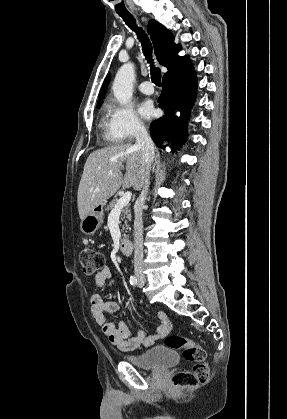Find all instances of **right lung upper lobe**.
Instances as JSON below:
<instances>
[{
	"label": "right lung upper lobe",
	"mask_w": 287,
	"mask_h": 419,
	"mask_svg": "<svg viewBox=\"0 0 287 419\" xmlns=\"http://www.w3.org/2000/svg\"><path fill=\"white\" fill-rule=\"evenodd\" d=\"M147 27L158 62L168 69V72L165 73V75L177 74L191 66L187 57H180L178 55L180 46L174 43L173 35L168 29L155 20H150ZM109 80L110 75H107L99 93L97 106H100L103 101L102 98L106 93Z\"/></svg>",
	"instance_id": "obj_1"
}]
</instances>
